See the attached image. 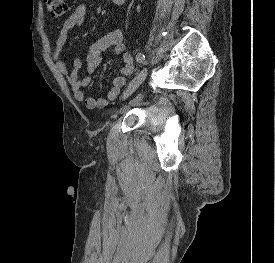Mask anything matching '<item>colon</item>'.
Wrapping results in <instances>:
<instances>
[{"instance_id": "5ec220e1", "label": "colon", "mask_w": 275, "mask_h": 263, "mask_svg": "<svg viewBox=\"0 0 275 263\" xmlns=\"http://www.w3.org/2000/svg\"><path fill=\"white\" fill-rule=\"evenodd\" d=\"M47 11L53 17L65 15L70 8V0H44Z\"/></svg>"}]
</instances>
